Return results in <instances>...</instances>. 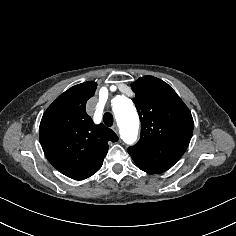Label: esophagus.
<instances>
[{
  "label": "esophagus",
  "instance_id": "esophagus-1",
  "mask_svg": "<svg viewBox=\"0 0 236 236\" xmlns=\"http://www.w3.org/2000/svg\"><path fill=\"white\" fill-rule=\"evenodd\" d=\"M112 130L117 134L118 133V127L116 124L112 126Z\"/></svg>",
  "mask_w": 236,
  "mask_h": 236
}]
</instances>
